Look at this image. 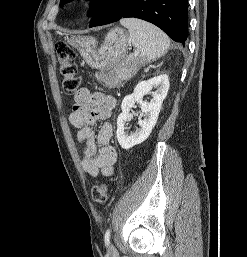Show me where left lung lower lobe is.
<instances>
[{"label": "left lung lower lobe", "instance_id": "0a47b994", "mask_svg": "<svg viewBox=\"0 0 247 257\" xmlns=\"http://www.w3.org/2000/svg\"><path fill=\"white\" fill-rule=\"evenodd\" d=\"M92 16L89 27L135 17L158 26L183 46L187 40V0H104Z\"/></svg>", "mask_w": 247, "mask_h": 257}]
</instances>
